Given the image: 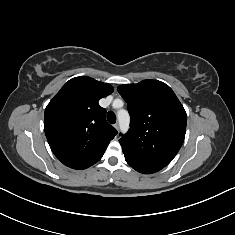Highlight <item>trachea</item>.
<instances>
[{"mask_svg": "<svg viewBox=\"0 0 235 235\" xmlns=\"http://www.w3.org/2000/svg\"><path fill=\"white\" fill-rule=\"evenodd\" d=\"M107 120L110 124H114L116 122V115L113 111H109L107 113Z\"/></svg>", "mask_w": 235, "mask_h": 235, "instance_id": "1", "label": "trachea"}]
</instances>
